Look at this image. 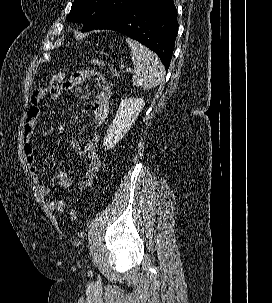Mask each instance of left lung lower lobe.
<instances>
[{
  "instance_id": "0a47b994",
  "label": "left lung lower lobe",
  "mask_w": 272,
  "mask_h": 303,
  "mask_svg": "<svg viewBox=\"0 0 272 303\" xmlns=\"http://www.w3.org/2000/svg\"><path fill=\"white\" fill-rule=\"evenodd\" d=\"M95 29L114 30L153 50L169 68L178 32L173 0H140Z\"/></svg>"
}]
</instances>
